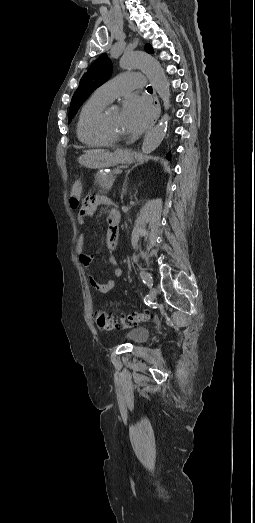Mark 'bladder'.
<instances>
[{"instance_id":"bladder-1","label":"bladder","mask_w":255,"mask_h":523,"mask_svg":"<svg viewBox=\"0 0 255 523\" xmlns=\"http://www.w3.org/2000/svg\"><path fill=\"white\" fill-rule=\"evenodd\" d=\"M127 335L134 344L138 345L149 337V331L143 327H134L129 330Z\"/></svg>"}]
</instances>
